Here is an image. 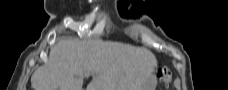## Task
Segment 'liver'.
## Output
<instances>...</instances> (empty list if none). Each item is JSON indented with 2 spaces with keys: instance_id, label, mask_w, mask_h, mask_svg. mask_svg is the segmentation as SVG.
Here are the masks:
<instances>
[{
  "instance_id": "1",
  "label": "liver",
  "mask_w": 228,
  "mask_h": 90,
  "mask_svg": "<svg viewBox=\"0 0 228 90\" xmlns=\"http://www.w3.org/2000/svg\"><path fill=\"white\" fill-rule=\"evenodd\" d=\"M157 65L145 47L97 40L91 46L76 38H61L50 50L49 60L31 77L33 90H145ZM156 81L152 84V88Z\"/></svg>"
}]
</instances>
